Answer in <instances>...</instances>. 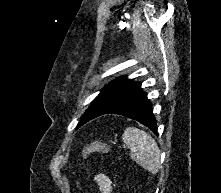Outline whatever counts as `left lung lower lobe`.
<instances>
[{"mask_svg":"<svg viewBox=\"0 0 221 193\" xmlns=\"http://www.w3.org/2000/svg\"><path fill=\"white\" fill-rule=\"evenodd\" d=\"M104 114H118L136 120L158 135L152 105L141 89V83L133 82L126 87L101 115Z\"/></svg>","mask_w":221,"mask_h":193,"instance_id":"1","label":"left lung lower lobe"}]
</instances>
